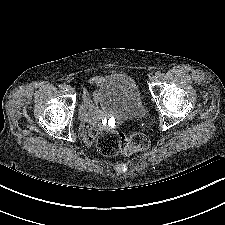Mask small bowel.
<instances>
[{
	"label": "small bowel",
	"mask_w": 225,
	"mask_h": 225,
	"mask_svg": "<svg viewBox=\"0 0 225 225\" xmlns=\"http://www.w3.org/2000/svg\"><path fill=\"white\" fill-rule=\"evenodd\" d=\"M102 78L100 76L93 77L90 80L92 85H99ZM82 104L79 107L78 115L83 123L82 125V132L84 135V140L87 145H91L95 139L97 133V127L95 126L96 117L99 113L98 111V99L97 95L90 94L87 91H83L82 93ZM90 124V125H85Z\"/></svg>",
	"instance_id": "obj_1"
}]
</instances>
